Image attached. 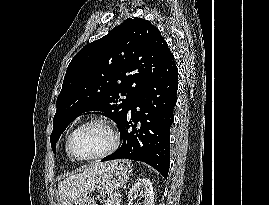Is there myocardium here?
Masks as SVG:
<instances>
[{
  "mask_svg": "<svg viewBox=\"0 0 269 205\" xmlns=\"http://www.w3.org/2000/svg\"><path fill=\"white\" fill-rule=\"evenodd\" d=\"M90 124H101L102 126H104L110 135L111 144H110L109 148H107L105 151H103L99 154L89 156V157H79L74 153V151L72 149V140H73V137L78 130H80L81 128H83L87 125H90ZM118 147H119V135L117 133L114 122L112 120H110L109 118H107L105 116H101V115L87 118L86 120H84L80 124H78L69 134V136L67 138V145H66L68 155L75 161L99 160V159L105 158V157L111 155L112 153H114Z\"/></svg>",
  "mask_w": 269,
  "mask_h": 205,
  "instance_id": "f54148a6",
  "label": "myocardium"
}]
</instances>
